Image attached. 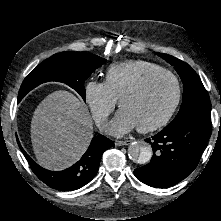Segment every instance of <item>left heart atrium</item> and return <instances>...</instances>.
I'll return each instance as SVG.
<instances>
[{"mask_svg": "<svg viewBox=\"0 0 221 221\" xmlns=\"http://www.w3.org/2000/svg\"><path fill=\"white\" fill-rule=\"evenodd\" d=\"M137 127L134 119L124 110H120L116 117L107 125V131L115 136H121Z\"/></svg>", "mask_w": 221, "mask_h": 221, "instance_id": "1", "label": "left heart atrium"}]
</instances>
